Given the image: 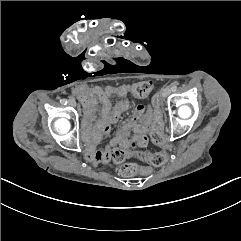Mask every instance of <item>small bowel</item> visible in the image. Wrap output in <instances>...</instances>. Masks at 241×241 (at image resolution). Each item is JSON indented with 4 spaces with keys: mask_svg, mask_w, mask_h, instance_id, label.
Here are the masks:
<instances>
[{
    "mask_svg": "<svg viewBox=\"0 0 241 241\" xmlns=\"http://www.w3.org/2000/svg\"><path fill=\"white\" fill-rule=\"evenodd\" d=\"M129 87V85L108 86L106 88L79 86L73 91L86 110V126L83 129V136L88 140L90 147H95L102 136L109 134L111 126L118 121L122 113L128 110ZM112 98L119 100L113 103ZM97 101L101 104V118L97 123H94ZM151 125V108H146L143 104L136 105L132 120L116 131L106 148L88 153L87 159L94 164L106 163L111 158L113 148L129 150L138 148L140 145L147 146Z\"/></svg>",
    "mask_w": 241,
    "mask_h": 241,
    "instance_id": "obj_1",
    "label": "small bowel"
}]
</instances>
